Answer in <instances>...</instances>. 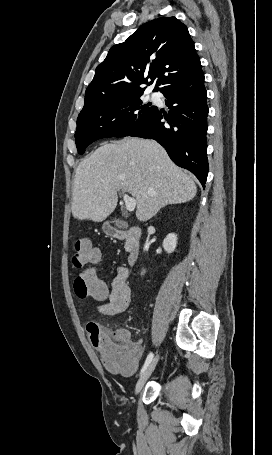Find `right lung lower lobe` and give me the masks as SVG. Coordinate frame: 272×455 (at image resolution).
I'll list each match as a JSON object with an SVG mask.
<instances>
[{"label":"right lung lower lobe","mask_w":272,"mask_h":455,"mask_svg":"<svg viewBox=\"0 0 272 455\" xmlns=\"http://www.w3.org/2000/svg\"><path fill=\"white\" fill-rule=\"evenodd\" d=\"M161 93L167 98L169 116L157 108L129 136L156 140L176 165L193 172L204 187L208 174L204 74L201 71Z\"/></svg>","instance_id":"right-lung-lower-lobe-1"}]
</instances>
